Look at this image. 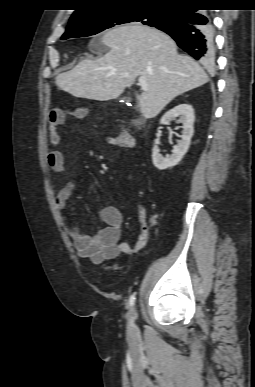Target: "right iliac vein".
<instances>
[{
  "label": "right iliac vein",
  "mask_w": 255,
  "mask_h": 387,
  "mask_svg": "<svg viewBox=\"0 0 255 387\" xmlns=\"http://www.w3.org/2000/svg\"><path fill=\"white\" fill-rule=\"evenodd\" d=\"M136 318H137L136 308H132L130 310V312L128 313V317H127V319H128V331L130 334L131 333L133 334L136 331V325H135Z\"/></svg>",
  "instance_id": "right-iliac-vein-1"
}]
</instances>
